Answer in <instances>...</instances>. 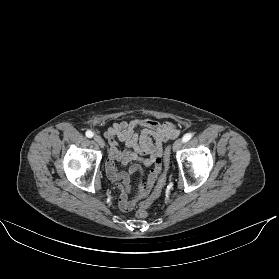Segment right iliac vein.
I'll return each instance as SVG.
<instances>
[{
  "mask_svg": "<svg viewBox=\"0 0 279 279\" xmlns=\"http://www.w3.org/2000/svg\"><path fill=\"white\" fill-rule=\"evenodd\" d=\"M94 141L100 146V147H104V141L103 139L99 136V135H95L94 136Z\"/></svg>",
  "mask_w": 279,
  "mask_h": 279,
  "instance_id": "1",
  "label": "right iliac vein"
}]
</instances>
